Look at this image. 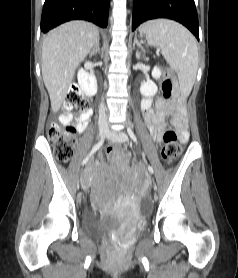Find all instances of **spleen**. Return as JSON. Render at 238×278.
Segmentation results:
<instances>
[{
    "label": "spleen",
    "mask_w": 238,
    "mask_h": 278,
    "mask_svg": "<svg viewBox=\"0 0 238 278\" xmlns=\"http://www.w3.org/2000/svg\"><path fill=\"white\" fill-rule=\"evenodd\" d=\"M140 30L146 32L150 45L162 49L167 63L177 71L181 92L188 95L198 70V48L195 37L184 26L167 19L144 23Z\"/></svg>",
    "instance_id": "1"
}]
</instances>
